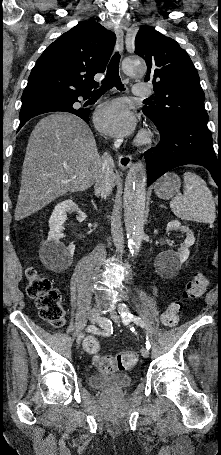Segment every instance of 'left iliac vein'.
Here are the masks:
<instances>
[{
	"mask_svg": "<svg viewBox=\"0 0 221 455\" xmlns=\"http://www.w3.org/2000/svg\"><path fill=\"white\" fill-rule=\"evenodd\" d=\"M119 307H120V305H119ZM110 317H111V319H112L115 323H119V322H120V317H119V315H118L117 312L112 311V312L110 313ZM141 354H142V356H143L144 358H148V357H149V351H148V349L145 348V347H142V348H141Z\"/></svg>",
	"mask_w": 221,
	"mask_h": 455,
	"instance_id": "left-iliac-vein-1",
	"label": "left iliac vein"
}]
</instances>
